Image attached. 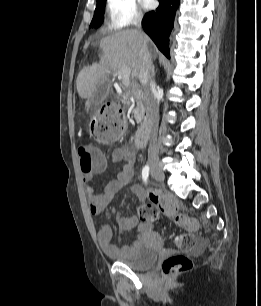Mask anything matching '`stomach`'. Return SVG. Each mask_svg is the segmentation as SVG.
Here are the masks:
<instances>
[{"label": "stomach", "instance_id": "0dacf381", "mask_svg": "<svg viewBox=\"0 0 261 306\" xmlns=\"http://www.w3.org/2000/svg\"><path fill=\"white\" fill-rule=\"evenodd\" d=\"M97 118H98V115H95L93 117L94 120H97ZM123 127H124V129L126 128V122L125 121H123Z\"/></svg>", "mask_w": 261, "mask_h": 306}]
</instances>
